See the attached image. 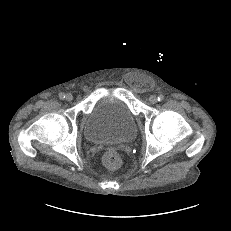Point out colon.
<instances>
[{
  "label": "colon",
  "mask_w": 231,
  "mask_h": 231,
  "mask_svg": "<svg viewBox=\"0 0 231 231\" xmlns=\"http://www.w3.org/2000/svg\"><path fill=\"white\" fill-rule=\"evenodd\" d=\"M102 160L103 164L110 169H116L121 165V157L115 151H107Z\"/></svg>",
  "instance_id": "5ec220e1"
}]
</instances>
